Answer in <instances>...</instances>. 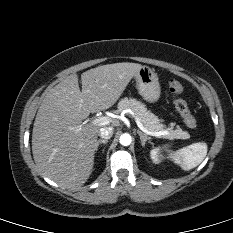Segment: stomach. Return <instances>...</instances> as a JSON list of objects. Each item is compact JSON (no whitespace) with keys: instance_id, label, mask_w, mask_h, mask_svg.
<instances>
[{"instance_id":"1","label":"stomach","mask_w":233,"mask_h":233,"mask_svg":"<svg viewBox=\"0 0 233 233\" xmlns=\"http://www.w3.org/2000/svg\"><path fill=\"white\" fill-rule=\"evenodd\" d=\"M134 77L137 90L143 99L150 103L158 101L161 94V87L154 70L148 66H142Z\"/></svg>"}]
</instances>
